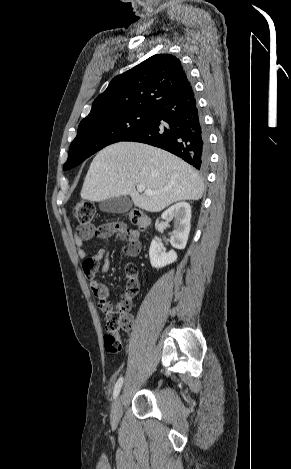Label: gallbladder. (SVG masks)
<instances>
[{
	"label": "gallbladder",
	"instance_id": "gallbladder-1",
	"mask_svg": "<svg viewBox=\"0 0 291 469\" xmlns=\"http://www.w3.org/2000/svg\"><path fill=\"white\" fill-rule=\"evenodd\" d=\"M99 207L103 212L107 213H124L130 210L132 202L126 196L112 197L102 201Z\"/></svg>",
	"mask_w": 291,
	"mask_h": 469
}]
</instances>
